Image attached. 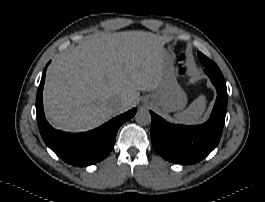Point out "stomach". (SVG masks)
Instances as JSON below:
<instances>
[{
  "instance_id": "stomach-1",
  "label": "stomach",
  "mask_w": 265,
  "mask_h": 202,
  "mask_svg": "<svg viewBox=\"0 0 265 202\" xmlns=\"http://www.w3.org/2000/svg\"><path fill=\"white\" fill-rule=\"evenodd\" d=\"M157 102L163 107L178 109L185 105L186 96L175 82H171L157 93Z\"/></svg>"
}]
</instances>
